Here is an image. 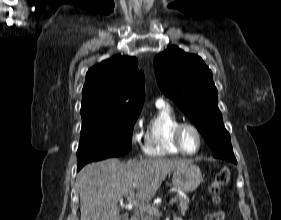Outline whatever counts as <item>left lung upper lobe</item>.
<instances>
[{
  "instance_id": "obj_1",
  "label": "left lung upper lobe",
  "mask_w": 281,
  "mask_h": 220,
  "mask_svg": "<svg viewBox=\"0 0 281 220\" xmlns=\"http://www.w3.org/2000/svg\"><path fill=\"white\" fill-rule=\"evenodd\" d=\"M154 69L160 89L195 124L214 157L236 163L218 108L212 72L203 60L171 46L154 58Z\"/></svg>"
}]
</instances>
